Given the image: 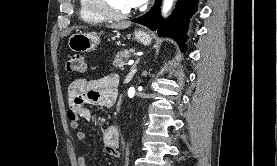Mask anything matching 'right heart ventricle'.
Wrapping results in <instances>:
<instances>
[{
    "label": "right heart ventricle",
    "mask_w": 277,
    "mask_h": 166,
    "mask_svg": "<svg viewBox=\"0 0 277 166\" xmlns=\"http://www.w3.org/2000/svg\"><path fill=\"white\" fill-rule=\"evenodd\" d=\"M79 14L80 18L88 23H102L104 21L103 18L94 15L86 8L84 0H79Z\"/></svg>",
    "instance_id": "obj_1"
}]
</instances>
